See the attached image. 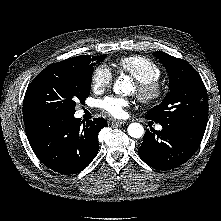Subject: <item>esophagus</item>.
Here are the masks:
<instances>
[{"instance_id": "esophagus-1", "label": "esophagus", "mask_w": 221, "mask_h": 221, "mask_svg": "<svg viewBox=\"0 0 221 221\" xmlns=\"http://www.w3.org/2000/svg\"><path fill=\"white\" fill-rule=\"evenodd\" d=\"M126 122L125 121H120V120H111L110 124L112 125H124Z\"/></svg>"}]
</instances>
